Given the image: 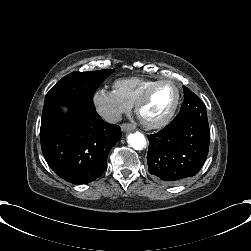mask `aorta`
<instances>
[{
  "mask_svg": "<svg viewBox=\"0 0 251 251\" xmlns=\"http://www.w3.org/2000/svg\"><path fill=\"white\" fill-rule=\"evenodd\" d=\"M127 142L135 150H142L146 147V139L141 132L129 134Z\"/></svg>",
  "mask_w": 251,
  "mask_h": 251,
  "instance_id": "aorta-1",
  "label": "aorta"
}]
</instances>
